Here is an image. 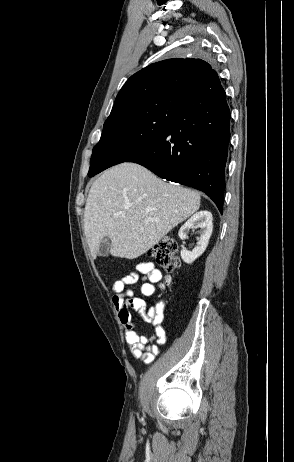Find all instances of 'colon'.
I'll list each match as a JSON object with an SVG mask.
<instances>
[{"instance_id": "obj_1", "label": "colon", "mask_w": 294, "mask_h": 462, "mask_svg": "<svg viewBox=\"0 0 294 462\" xmlns=\"http://www.w3.org/2000/svg\"><path fill=\"white\" fill-rule=\"evenodd\" d=\"M177 243L173 238H164L148 250V254L166 272L178 267Z\"/></svg>"}]
</instances>
